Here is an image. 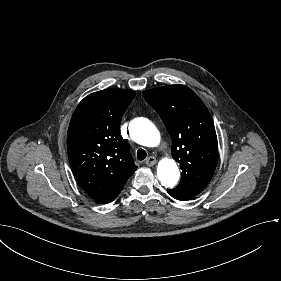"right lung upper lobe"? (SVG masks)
<instances>
[{
    "instance_id": "obj_1",
    "label": "right lung upper lobe",
    "mask_w": 281,
    "mask_h": 281,
    "mask_svg": "<svg viewBox=\"0 0 281 281\" xmlns=\"http://www.w3.org/2000/svg\"><path fill=\"white\" fill-rule=\"evenodd\" d=\"M134 96L126 89L92 93L79 103L71 118L67 133L70 167L96 202L124 186L137 169L119 129Z\"/></svg>"
}]
</instances>
